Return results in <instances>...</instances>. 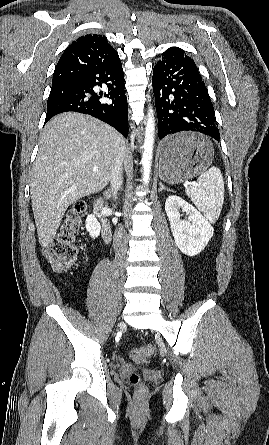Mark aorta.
<instances>
[{"label":"aorta","mask_w":269,"mask_h":445,"mask_svg":"<svg viewBox=\"0 0 269 445\" xmlns=\"http://www.w3.org/2000/svg\"><path fill=\"white\" fill-rule=\"evenodd\" d=\"M154 132H155V120L153 115V109L149 107L147 124L145 127V138L143 144L142 154V167H143V181L148 184L150 177V169L154 147Z\"/></svg>","instance_id":"aorta-1"}]
</instances>
